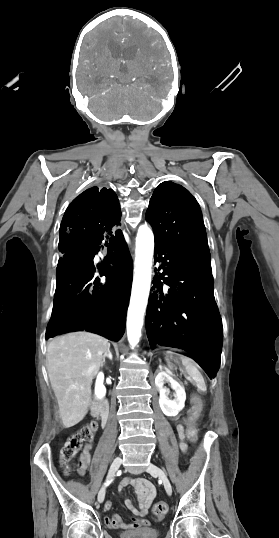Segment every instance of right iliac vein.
Returning a JSON list of instances; mask_svg holds the SVG:
<instances>
[{
  "label": "right iliac vein",
  "mask_w": 279,
  "mask_h": 538,
  "mask_svg": "<svg viewBox=\"0 0 279 538\" xmlns=\"http://www.w3.org/2000/svg\"><path fill=\"white\" fill-rule=\"evenodd\" d=\"M121 458L120 457H116L114 459V461L112 462L111 464V467L109 469V473H108V476H107V480H109L110 478L113 477V475L116 473V471L119 469L120 465H121ZM104 498H105V486L102 487L98 493V502L99 503H102L104 501Z\"/></svg>",
  "instance_id": "1"
}]
</instances>
